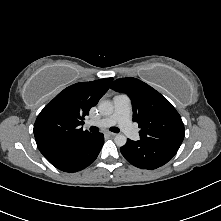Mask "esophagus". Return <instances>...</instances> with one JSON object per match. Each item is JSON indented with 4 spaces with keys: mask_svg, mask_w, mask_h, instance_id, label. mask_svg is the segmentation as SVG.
Listing matches in <instances>:
<instances>
[{
    "mask_svg": "<svg viewBox=\"0 0 221 221\" xmlns=\"http://www.w3.org/2000/svg\"><path fill=\"white\" fill-rule=\"evenodd\" d=\"M106 134L109 135V136H115L116 135V133H113V132H107Z\"/></svg>",
    "mask_w": 221,
    "mask_h": 221,
    "instance_id": "obj_1",
    "label": "esophagus"
}]
</instances>
